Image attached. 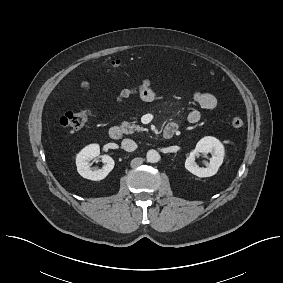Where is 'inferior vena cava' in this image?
<instances>
[{"mask_svg": "<svg viewBox=\"0 0 283 283\" xmlns=\"http://www.w3.org/2000/svg\"><path fill=\"white\" fill-rule=\"evenodd\" d=\"M121 145H122V149L128 152H132L137 149V144L135 143V141L131 139H124Z\"/></svg>", "mask_w": 283, "mask_h": 283, "instance_id": "602c4592", "label": "inferior vena cava"}]
</instances>
